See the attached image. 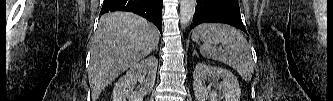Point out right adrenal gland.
Wrapping results in <instances>:
<instances>
[{
    "mask_svg": "<svg viewBox=\"0 0 333 101\" xmlns=\"http://www.w3.org/2000/svg\"><path fill=\"white\" fill-rule=\"evenodd\" d=\"M154 50L158 51V47L156 46V47L154 48Z\"/></svg>",
    "mask_w": 333,
    "mask_h": 101,
    "instance_id": "obj_1",
    "label": "right adrenal gland"
}]
</instances>
